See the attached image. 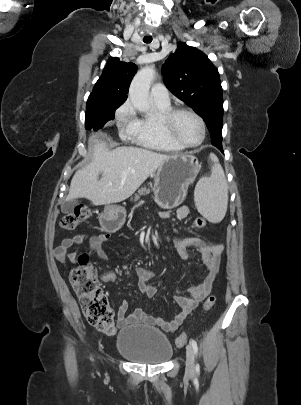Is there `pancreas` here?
I'll list each match as a JSON object with an SVG mask.
<instances>
[{
    "label": "pancreas",
    "instance_id": "1",
    "mask_svg": "<svg viewBox=\"0 0 301 405\" xmlns=\"http://www.w3.org/2000/svg\"><path fill=\"white\" fill-rule=\"evenodd\" d=\"M149 193H150V190L146 189L144 187V188H141V189L138 190V195H136L135 197L137 198L139 195H146V194H149Z\"/></svg>",
    "mask_w": 301,
    "mask_h": 405
}]
</instances>
